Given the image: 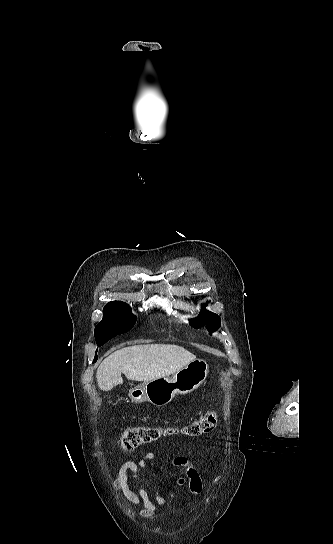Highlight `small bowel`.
Listing matches in <instances>:
<instances>
[{
  "mask_svg": "<svg viewBox=\"0 0 333 544\" xmlns=\"http://www.w3.org/2000/svg\"><path fill=\"white\" fill-rule=\"evenodd\" d=\"M149 465H155V455L148 452L138 461H126L120 467L117 476L113 482V488L120 490L125 498L134 505L142 507L140 516L151 518L154 516L157 506L165 504V498L156 490L150 493L140 485L141 471ZM170 466L179 469L177 484L181 488H187L192 494L197 495L202 491V479L198 470L185 457H176L172 460ZM159 470L165 471V466H160ZM130 478L136 483V489L133 490L129 485Z\"/></svg>",
  "mask_w": 333,
  "mask_h": 544,
  "instance_id": "obj_1",
  "label": "small bowel"
}]
</instances>
